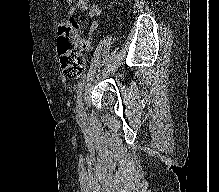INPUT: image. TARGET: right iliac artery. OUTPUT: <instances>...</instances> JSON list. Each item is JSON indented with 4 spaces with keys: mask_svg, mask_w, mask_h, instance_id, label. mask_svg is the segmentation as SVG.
<instances>
[{
    "mask_svg": "<svg viewBox=\"0 0 219 192\" xmlns=\"http://www.w3.org/2000/svg\"><path fill=\"white\" fill-rule=\"evenodd\" d=\"M84 81L79 82L75 86V90L77 93V115L79 117L80 107L82 105V90H83Z\"/></svg>",
    "mask_w": 219,
    "mask_h": 192,
    "instance_id": "obj_1",
    "label": "right iliac artery"
}]
</instances>
